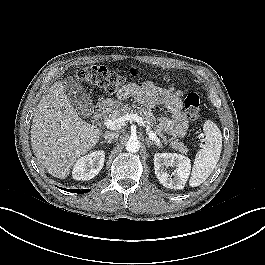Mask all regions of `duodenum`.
<instances>
[{"label":"duodenum","instance_id":"1","mask_svg":"<svg viewBox=\"0 0 265 265\" xmlns=\"http://www.w3.org/2000/svg\"><path fill=\"white\" fill-rule=\"evenodd\" d=\"M108 108L109 104L107 102H101L98 105H96L92 112V117H91L92 120L94 122L99 121L107 112Z\"/></svg>","mask_w":265,"mask_h":265}]
</instances>
